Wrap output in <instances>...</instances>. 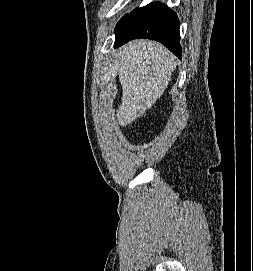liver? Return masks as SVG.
Instances as JSON below:
<instances>
[{
  "label": "liver",
  "mask_w": 253,
  "mask_h": 271,
  "mask_svg": "<svg viewBox=\"0 0 253 271\" xmlns=\"http://www.w3.org/2000/svg\"><path fill=\"white\" fill-rule=\"evenodd\" d=\"M122 104L117 120L125 127L141 117L159 99L171 81L176 61L163 45L134 40L119 51Z\"/></svg>",
  "instance_id": "6515ba94"
}]
</instances>
